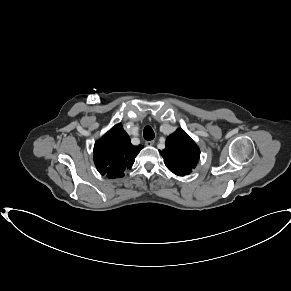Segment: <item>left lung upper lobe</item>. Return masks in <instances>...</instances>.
I'll use <instances>...</instances> for the list:
<instances>
[{
    "mask_svg": "<svg viewBox=\"0 0 291 291\" xmlns=\"http://www.w3.org/2000/svg\"><path fill=\"white\" fill-rule=\"evenodd\" d=\"M159 152L167 168L178 176L190 174L200 158L198 146L181 128L167 137L166 148Z\"/></svg>",
    "mask_w": 291,
    "mask_h": 291,
    "instance_id": "obj_1",
    "label": "left lung upper lobe"
}]
</instances>
